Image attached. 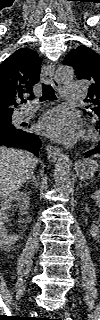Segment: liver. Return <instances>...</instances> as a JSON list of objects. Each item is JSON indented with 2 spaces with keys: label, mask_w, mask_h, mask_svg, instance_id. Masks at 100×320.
<instances>
[{
  "label": "liver",
  "mask_w": 100,
  "mask_h": 320,
  "mask_svg": "<svg viewBox=\"0 0 100 320\" xmlns=\"http://www.w3.org/2000/svg\"><path fill=\"white\" fill-rule=\"evenodd\" d=\"M38 160L30 152L0 148V196L14 193L31 179Z\"/></svg>",
  "instance_id": "obj_1"
}]
</instances>
